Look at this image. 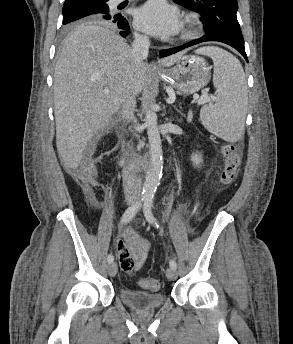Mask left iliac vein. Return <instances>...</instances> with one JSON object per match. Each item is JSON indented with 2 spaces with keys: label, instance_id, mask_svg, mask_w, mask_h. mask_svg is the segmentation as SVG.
<instances>
[{
  "label": "left iliac vein",
  "instance_id": "left-iliac-vein-1",
  "mask_svg": "<svg viewBox=\"0 0 293 344\" xmlns=\"http://www.w3.org/2000/svg\"><path fill=\"white\" fill-rule=\"evenodd\" d=\"M166 276L169 280H175L177 278V271L174 268H168L166 270Z\"/></svg>",
  "mask_w": 293,
  "mask_h": 344
}]
</instances>
